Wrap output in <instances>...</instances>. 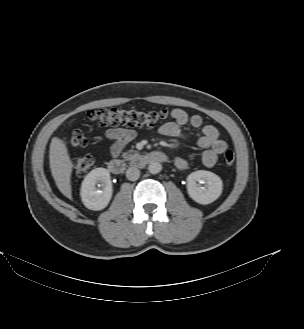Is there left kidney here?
Returning <instances> with one entry per match:
<instances>
[{
    "instance_id": "obj_1",
    "label": "left kidney",
    "mask_w": 304,
    "mask_h": 329,
    "mask_svg": "<svg viewBox=\"0 0 304 329\" xmlns=\"http://www.w3.org/2000/svg\"><path fill=\"white\" fill-rule=\"evenodd\" d=\"M198 183H205L201 187ZM223 189L221 178L206 170L192 172L187 177V191L189 196L199 204H210L217 200Z\"/></svg>"
}]
</instances>
